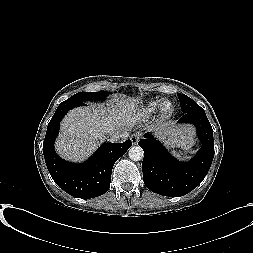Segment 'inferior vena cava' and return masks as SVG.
<instances>
[{
	"label": "inferior vena cava",
	"mask_w": 253,
	"mask_h": 253,
	"mask_svg": "<svg viewBox=\"0 0 253 253\" xmlns=\"http://www.w3.org/2000/svg\"><path fill=\"white\" fill-rule=\"evenodd\" d=\"M129 136L128 130L124 129L121 131H111L107 135V140L111 142L125 141Z\"/></svg>",
	"instance_id": "1"
}]
</instances>
